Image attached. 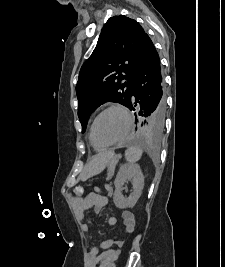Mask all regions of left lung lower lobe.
I'll return each instance as SVG.
<instances>
[{
  "label": "left lung lower lobe",
  "mask_w": 225,
  "mask_h": 267,
  "mask_svg": "<svg viewBox=\"0 0 225 267\" xmlns=\"http://www.w3.org/2000/svg\"><path fill=\"white\" fill-rule=\"evenodd\" d=\"M129 108L139 118L152 116L157 124L165 120L164 82L160 58L147 35L136 65Z\"/></svg>",
  "instance_id": "obj_1"
}]
</instances>
